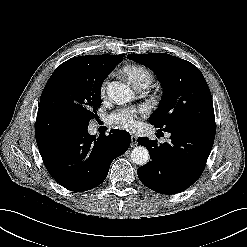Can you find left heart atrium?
Listing matches in <instances>:
<instances>
[{
    "label": "left heart atrium",
    "mask_w": 247,
    "mask_h": 247,
    "mask_svg": "<svg viewBox=\"0 0 247 247\" xmlns=\"http://www.w3.org/2000/svg\"><path fill=\"white\" fill-rule=\"evenodd\" d=\"M144 114L143 109L121 108L114 111L108 118L109 122L123 129H133L141 115Z\"/></svg>",
    "instance_id": "39dd6f15"
}]
</instances>
